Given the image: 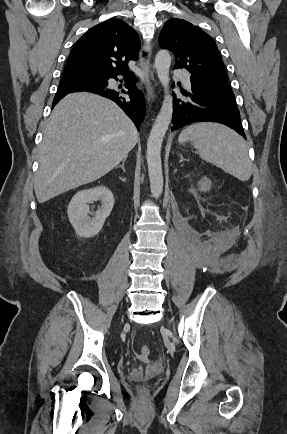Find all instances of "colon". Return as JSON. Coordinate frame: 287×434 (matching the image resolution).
Here are the masks:
<instances>
[{
  "mask_svg": "<svg viewBox=\"0 0 287 434\" xmlns=\"http://www.w3.org/2000/svg\"><path fill=\"white\" fill-rule=\"evenodd\" d=\"M149 355H150V348L146 345L141 346L140 347V354H139L140 358L141 359H147L149 357ZM146 395H147V392L145 390H142L140 392V398H145Z\"/></svg>",
  "mask_w": 287,
  "mask_h": 434,
  "instance_id": "1",
  "label": "colon"
}]
</instances>
